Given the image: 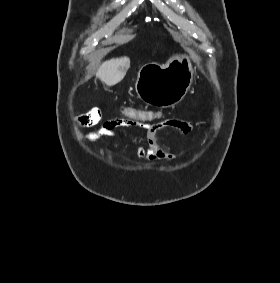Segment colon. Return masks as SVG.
I'll list each match as a JSON object with an SVG mask.
<instances>
[{
	"mask_svg": "<svg viewBox=\"0 0 280 283\" xmlns=\"http://www.w3.org/2000/svg\"><path fill=\"white\" fill-rule=\"evenodd\" d=\"M163 109L159 108L156 111L155 108H144L137 107L136 105H130L125 107L122 112L121 118L124 122H146L147 125H151L155 119H159L160 116L162 119L166 118L165 114H162Z\"/></svg>",
	"mask_w": 280,
	"mask_h": 283,
	"instance_id": "colon-1",
	"label": "colon"
}]
</instances>
